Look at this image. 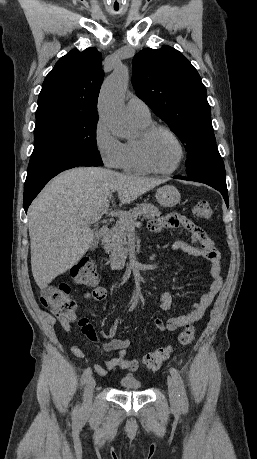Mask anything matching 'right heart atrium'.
<instances>
[{"mask_svg":"<svg viewBox=\"0 0 257 459\" xmlns=\"http://www.w3.org/2000/svg\"><path fill=\"white\" fill-rule=\"evenodd\" d=\"M94 144L103 163L110 168H119L123 158V143L110 131L103 119L94 128Z\"/></svg>","mask_w":257,"mask_h":459,"instance_id":"d8ad5b80","label":"right heart atrium"}]
</instances>
